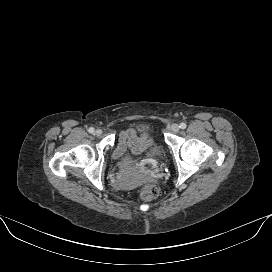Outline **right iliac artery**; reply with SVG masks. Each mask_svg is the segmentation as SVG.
<instances>
[{
	"label": "right iliac artery",
	"instance_id": "right-iliac-artery-1",
	"mask_svg": "<svg viewBox=\"0 0 272 272\" xmlns=\"http://www.w3.org/2000/svg\"><path fill=\"white\" fill-rule=\"evenodd\" d=\"M88 132H89V133H94V128H93V127H90V128L88 129Z\"/></svg>",
	"mask_w": 272,
	"mask_h": 272
}]
</instances>
